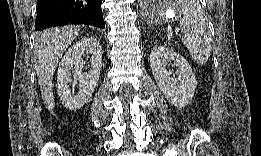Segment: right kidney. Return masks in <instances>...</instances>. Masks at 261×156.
I'll return each mask as SVG.
<instances>
[{
    "mask_svg": "<svg viewBox=\"0 0 261 156\" xmlns=\"http://www.w3.org/2000/svg\"><path fill=\"white\" fill-rule=\"evenodd\" d=\"M84 53L91 54V69L88 73H82ZM73 66L74 81H79L81 88L76 94L69 87L72 82L70 70ZM101 66L102 47L94 37H85L68 49L59 64L57 77L58 94L66 108L77 110L89 101L99 80Z\"/></svg>",
    "mask_w": 261,
    "mask_h": 156,
    "instance_id": "obj_1",
    "label": "right kidney"
}]
</instances>
